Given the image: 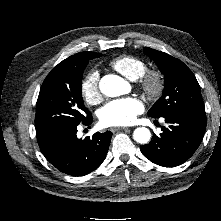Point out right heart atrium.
Instances as JSON below:
<instances>
[{"label": "right heart atrium", "mask_w": 221, "mask_h": 221, "mask_svg": "<svg viewBox=\"0 0 221 221\" xmlns=\"http://www.w3.org/2000/svg\"><path fill=\"white\" fill-rule=\"evenodd\" d=\"M81 94L88 104H98L102 100L99 86V73L92 70L86 74L81 82Z\"/></svg>", "instance_id": "right-heart-atrium-1"}]
</instances>
